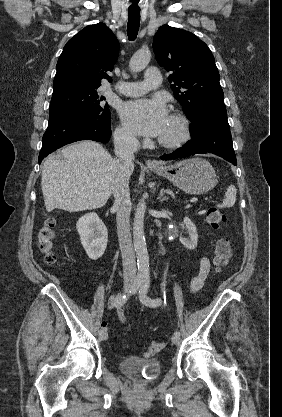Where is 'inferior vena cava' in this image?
Wrapping results in <instances>:
<instances>
[{"instance_id": "obj_1", "label": "inferior vena cava", "mask_w": 282, "mask_h": 417, "mask_svg": "<svg viewBox=\"0 0 282 417\" xmlns=\"http://www.w3.org/2000/svg\"><path fill=\"white\" fill-rule=\"evenodd\" d=\"M114 152L117 156L113 166L112 190L114 194V209L117 211V235L123 265L124 281H136V259L130 233L131 202L129 196V178L133 172L134 158L139 144L128 132L115 130Z\"/></svg>"}]
</instances>
